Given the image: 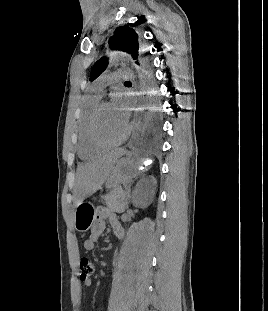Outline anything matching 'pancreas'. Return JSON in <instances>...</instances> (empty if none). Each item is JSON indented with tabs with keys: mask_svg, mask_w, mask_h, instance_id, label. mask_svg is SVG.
I'll return each mask as SVG.
<instances>
[{
	"mask_svg": "<svg viewBox=\"0 0 268 311\" xmlns=\"http://www.w3.org/2000/svg\"><path fill=\"white\" fill-rule=\"evenodd\" d=\"M104 204L113 212L123 213L128 207V198L121 189H114L110 193L102 196Z\"/></svg>",
	"mask_w": 268,
	"mask_h": 311,
	"instance_id": "pancreas-1",
	"label": "pancreas"
}]
</instances>
